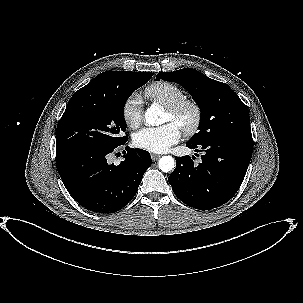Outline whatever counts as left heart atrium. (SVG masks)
I'll return each instance as SVG.
<instances>
[{
	"instance_id": "obj_1",
	"label": "left heart atrium",
	"mask_w": 303,
	"mask_h": 303,
	"mask_svg": "<svg viewBox=\"0 0 303 303\" xmlns=\"http://www.w3.org/2000/svg\"><path fill=\"white\" fill-rule=\"evenodd\" d=\"M181 138L180 128L168 122L160 127H146L135 133L133 144L140 149L153 152H166Z\"/></svg>"
}]
</instances>
